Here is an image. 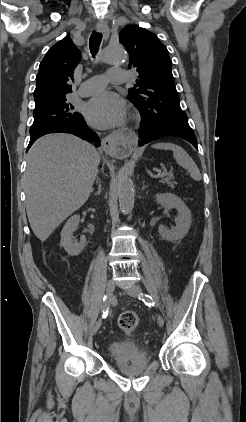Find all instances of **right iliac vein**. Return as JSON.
Returning <instances> with one entry per match:
<instances>
[{
    "label": "right iliac vein",
    "mask_w": 246,
    "mask_h": 422,
    "mask_svg": "<svg viewBox=\"0 0 246 422\" xmlns=\"http://www.w3.org/2000/svg\"><path fill=\"white\" fill-rule=\"evenodd\" d=\"M114 289H115V283H114V281H113V280H109V281H108V283H107V288H106V290H107V296H108V298H109L110 300H112V296H113ZM101 323H102V320H101V319H99V320L95 323V325H94V327H93V334H96V333H97V331L99 330V328H100V326H101Z\"/></svg>",
    "instance_id": "1"
}]
</instances>
